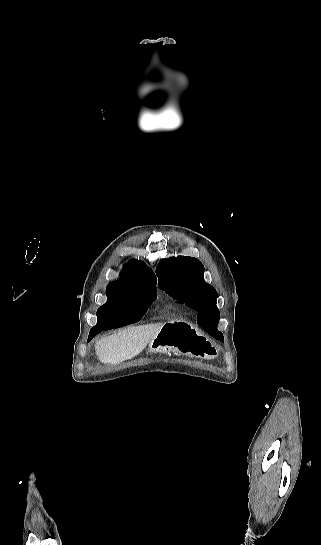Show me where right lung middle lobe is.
Instances as JSON below:
<instances>
[{"label":"right lung middle lobe","instance_id":"obj_1","mask_svg":"<svg viewBox=\"0 0 321 545\" xmlns=\"http://www.w3.org/2000/svg\"><path fill=\"white\" fill-rule=\"evenodd\" d=\"M157 294L156 289H140V290H129L123 288H111L107 286L106 295L108 301L106 305H111L120 302H131L137 305V315L135 322H138L143 315L146 313L149 306L154 301ZM97 325L99 327L112 324L113 321H107L98 315Z\"/></svg>","mask_w":321,"mask_h":545}]
</instances>
